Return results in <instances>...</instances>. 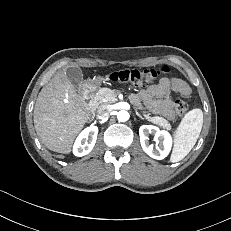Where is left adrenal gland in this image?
I'll return each instance as SVG.
<instances>
[{
  "mask_svg": "<svg viewBox=\"0 0 231 231\" xmlns=\"http://www.w3.org/2000/svg\"><path fill=\"white\" fill-rule=\"evenodd\" d=\"M135 113L138 117H140L141 119H144L137 111Z\"/></svg>",
  "mask_w": 231,
  "mask_h": 231,
  "instance_id": "left-adrenal-gland-1",
  "label": "left adrenal gland"
}]
</instances>
